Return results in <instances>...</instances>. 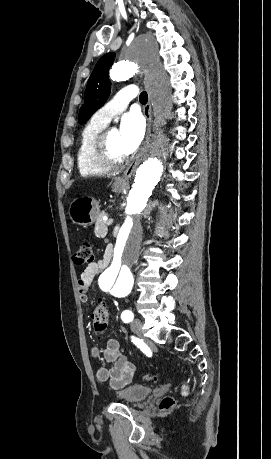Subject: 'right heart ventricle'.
I'll return each instance as SVG.
<instances>
[{"label":"right heart ventricle","mask_w":271,"mask_h":459,"mask_svg":"<svg viewBox=\"0 0 271 459\" xmlns=\"http://www.w3.org/2000/svg\"><path fill=\"white\" fill-rule=\"evenodd\" d=\"M159 105V104H157ZM107 124L99 123L94 117L81 129L77 149H76V168L79 175L83 178H91L102 175L112 169L113 166L96 164L90 160L89 148L93 138L101 132Z\"/></svg>","instance_id":"e07e8e85"}]
</instances>
